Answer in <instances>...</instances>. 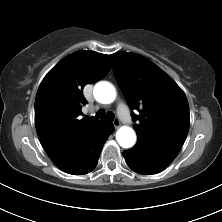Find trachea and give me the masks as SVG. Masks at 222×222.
<instances>
[{
	"label": "trachea",
	"mask_w": 222,
	"mask_h": 222,
	"mask_svg": "<svg viewBox=\"0 0 222 222\" xmlns=\"http://www.w3.org/2000/svg\"><path fill=\"white\" fill-rule=\"evenodd\" d=\"M105 116L110 121H112L114 119V114L112 112H107L105 115L104 110H98L96 113L97 118H104Z\"/></svg>",
	"instance_id": "trachea-1"
}]
</instances>
